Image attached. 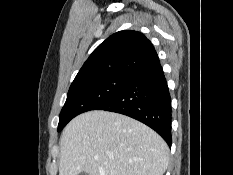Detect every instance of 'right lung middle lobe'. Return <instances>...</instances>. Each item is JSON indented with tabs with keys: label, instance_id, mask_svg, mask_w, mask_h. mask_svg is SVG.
Wrapping results in <instances>:
<instances>
[{
	"label": "right lung middle lobe",
	"instance_id": "obj_1",
	"mask_svg": "<svg viewBox=\"0 0 233 175\" xmlns=\"http://www.w3.org/2000/svg\"><path fill=\"white\" fill-rule=\"evenodd\" d=\"M132 78L123 74H109L73 82L59 116L58 131L75 116L95 110L113 98Z\"/></svg>",
	"mask_w": 233,
	"mask_h": 175
}]
</instances>
